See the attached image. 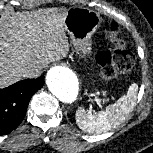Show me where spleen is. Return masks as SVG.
<instances>
[{
    "label": "spleen",
    "instance_id": "spleen-1",
    "mask_svg": "<svg viewBox=\"0 0 153 153\" xmlns=\"http://www.w3.org/2000/svg\"><path fill=\"white\" fill-rule=\"evenodd\" d=\"M137 90L138 85L131 84L125 95L94 115L79 108L76 112L77 125L88 133H102L117 127L134 107Z\"/></svg>",
    "mask_w": 153,
    "mask_h": 153
}]
</instances>
